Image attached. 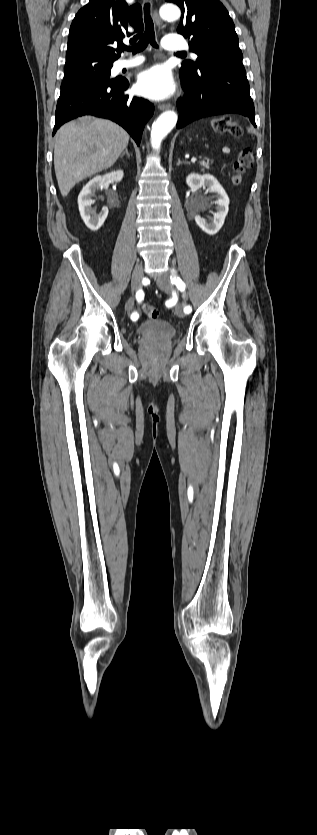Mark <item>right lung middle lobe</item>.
I'll return each instance as SVG.
<instances>
[{"instance_id":"obj_1","label":"right lung middle lobe","mask_w":317,"mask_h":835,"mask_svg":"<svg viewBox=\"0 0 317 835\" xmlns=\"http://www.w3.org/2000/svg\"><path fill=\"white\" fill-rule=\"evenodd\" d=\"M113 62L99 57L88 56L77 66L65 65V75L61 89L83 83L109 79Z\"/></svg>"}]
</instances>
